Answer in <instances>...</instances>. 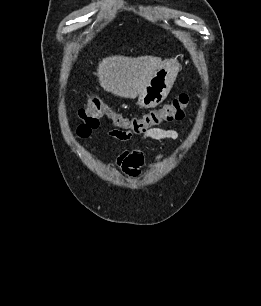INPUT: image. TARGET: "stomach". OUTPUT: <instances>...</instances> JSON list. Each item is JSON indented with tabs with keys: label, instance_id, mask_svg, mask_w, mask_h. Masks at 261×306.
<instances>
[{
	"label": "stomach",
	"instance_id": "stomach-1",
	"mask_svg": "<svg viewBox=\"0 0 261 306\" xmlns=\"http://www.w3.org/2000/svg\"><path fill=\"white\" fill-rule=\"evenodd\" d=\"M179 70L180 66L175 60L162 62L139 94L138 105L144 108H152L160 104L169 94Z\"/></svg>",
	"mask_w": 261,
	"mask_h": 306
}]
</instances>
